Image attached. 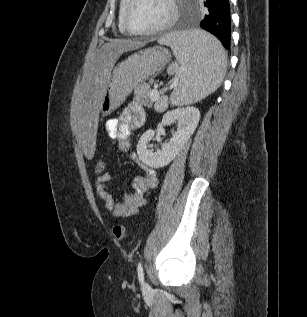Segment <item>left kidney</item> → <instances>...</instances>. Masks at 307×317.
<instances>
[{
    "label": "left kidney",
    "mask_w": 307,
    "mask_h": 317,
    "mask_svg": "<svg viewBox=\"0 0 307 317\" xmlns=\"http://www.w3.org/2000/svg\"><path fill=\"white\" fill-rule=\"evenodd\" d=\"M200 120V111L195 107L177 108L166 112L163 115L161 125L166 126L177 123V131L172 134L168 142H164L161 150L153 152L150 150V141L155 132L147 130L137 144V154L139 159L149 167L160 168L169 164L178 154L180 149L194 133Z\"/></svg>",
    "instance_id": "5707ae66"
}]
</instances>
